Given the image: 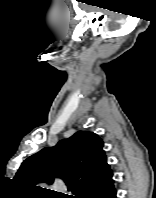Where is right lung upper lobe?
I'll return each mask as SVG.
<instances>
[{"label": "right lung upper lobe", "instance_id": "obj_1", "mask_svg": "<svg viewBox=\"0 0 156 198\" xmlns=\"http://www.w3.org/2000/svg\"><path fill=\"white\" fill-rule=\"evenodd\" d=\"M112 176L102 139L93 132L79 131L27 158L14 179L35 189L37 183L52 184L59 177L80 198H100L113 187Z\"/></svg>", "mask_w": 156, "mask_h": 198}]
</instances>
